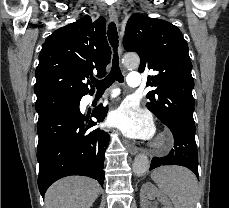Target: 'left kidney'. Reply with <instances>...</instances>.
I'll list each match as a JSON object with an SVG mask.
<instances>
[{
    "label": "left kidney",
    "instance_id": "5707ae66",
    "mask_svg": "<svg viewBox=\"0 0 229 208\" xmlns=\"http://www.w3.org/2000/svg\"><path fill=\"white\" fill-rule=\"evenodd\" d=\"M154 198H157L158 202L163 204V208H172L170 200H168L167 196H164L156 186H153L151 182L143 184L140 192L141 208H154V206L148 202V200H154Z\"/></svg>",
    "mask_w": 229,
    "mask_h": 208
}]
</instances>
